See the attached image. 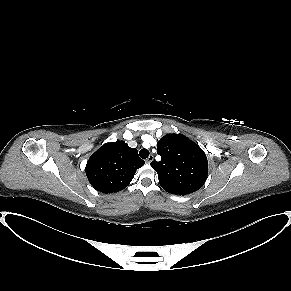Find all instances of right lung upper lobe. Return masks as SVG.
<instances>
[{"mask_svg":"<svg viewBox=\"0 0 291 291\" xmlns=\"http://www.w3.org/2000/svg\"><path fill=\"white\" fill-rule=\"evenodd\" d=\"M145 162L138 151L124 141L106 143L91 155L86 164L90 184L98 191L109 194L126 188L136 170Z\"/></svg>","mask_w":291,"mask_h":291,"instance_id":"obj_1","label":"right lung upper lobe"}]
</instances>
